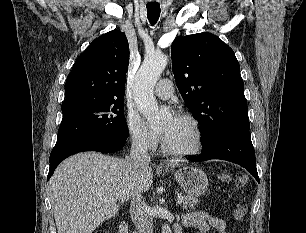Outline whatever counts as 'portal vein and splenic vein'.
Listing matches in <instances>:
<instances>
[{
  "label": "portal vein and splenic vein",
  "instance_id": "obj_1",
  "mask_svg": "<svg viewBox=\"0 0 306 233\" xmlns=\"http://www.w3.org/2000/svg\"><path fill=\"white\" fill-rule=\"evenodd\" d=\"M176 204H177V205L182 204V200L179 198V199L177 200Z\"/></svg>",
  "mask_w": 306,
  "mask_h": 233
}]
</instances>
